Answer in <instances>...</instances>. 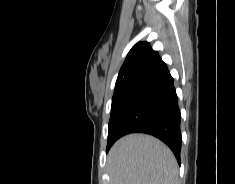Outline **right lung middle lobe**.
<instances>
[{
  "mask_svg": "<svg viewBox=\"0 0 235 184\" xmlns=\"http://www.w3.org/2000/svg\"><path fill=\"white\" fill-rule=\"evenodd\" d=\"M125 89H120V90H115L114 91V95H113V98H112V105H111V117H110V120L112 119V117L114 116V113L125 93ZM110 122V121H109ZM113 138H112V135L110 132H108V143H107V149H106V152L109 151L110 147L112 146L113 144Z\"/></svg>",
  "mask_w": 235,
  "mask_h": 184,
  "instance_id": "dd1d6c3e",
  "label": "right lung middle lobe"
}]
</instances>
